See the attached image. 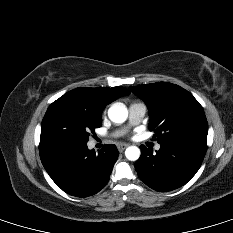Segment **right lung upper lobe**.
<instances>
[{"mask_svg": "<svg viewBox=\"0 0 233 233\" xmlns=\"http://www.w3.org/2000/svg\"><path fill=\"white\" fill-rule=\"evenodd\" d=\"M130 94L124 87H101L85 88L79 87L66 93L76 103L96 114H101L106 105L110 104L123 95Z\"/></svg>", "mask_w": 233, "mask_h": 233, "instance_id": "obj_1", "label": "right lung upper lobe"}]
</instances>
